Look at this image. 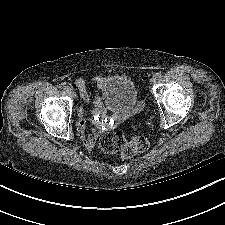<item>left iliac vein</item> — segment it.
I'll use <instances>...</instances> for the list:
<instances>
[{
    "mask_svg": "<svg viewBox=\"0 0 225 225\" xmlns=\"http://www.w3.org/2000/svg\"><path fill=\"white\" fill-rule=\"evenodd\" d=\"M156 83V78L155 77H152L150 79V85H154Z\"/></svg>",
    "mask_w": 225,
    "mask_h": 225,
    "instance_id": "left-iliac-vein-1",
    "label": "left iliac vein"
}]
</instances>
